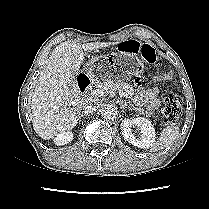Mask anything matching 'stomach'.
<instances>
[{
  "instance_id": "1",
  "label": "stomach",
  "mask_w": 209,
  "mask_h": 209,
  "mask_svg": "<svg viewBox=\"0 0 209 209\" xmlns=\"http://www.w3.org/2000/svg\"><path fill=\"white\" fill-rule=\"evenodd\" d=\"M89 74L97 84L125 81L133 75L143 73L144 64L136 54L118 52L94 57L89 63Z\"/></svg>"
}]
</instances>
